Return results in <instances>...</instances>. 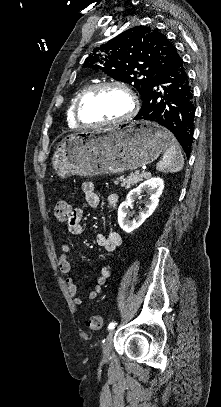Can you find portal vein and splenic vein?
<instances>
[{"mask_svg": "<svg viewBox=\"0 0 221 407\" xmlns=\"http://www.w3.org/2000/svg\"><path fill=\"white\" fill-rule=\"evenodd\" d=\"M140 173V171L139 170H136L135 171V174H139ZM143 174H144V172H143Z\"/></svg>", "mask_w": 221, "mask_h": 407, "instance_id": "18ae733b", "label": "portal vein and splenic vein"}]
</instances>
